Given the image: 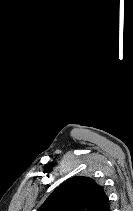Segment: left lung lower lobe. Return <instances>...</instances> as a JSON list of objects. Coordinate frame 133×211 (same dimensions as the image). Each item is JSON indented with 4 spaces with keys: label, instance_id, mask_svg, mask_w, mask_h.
Instances as JSON below:
<instances>
[{
    "label": "left lung lower lobe",
    "instance_id": "0a47b994",
    "mask_svg": "<svg viewBox=\"0 0 133 211\" xmlns=\"http://www.w3.org/2000/svg\"><path fill=\"white\" fill-rule=\"evenodd\" d=\"M96 211H111L109 207V200L104 202Z\"/></svg>",
    "mask_w": 133,
    "mask_h": 211
}]
</instances>
